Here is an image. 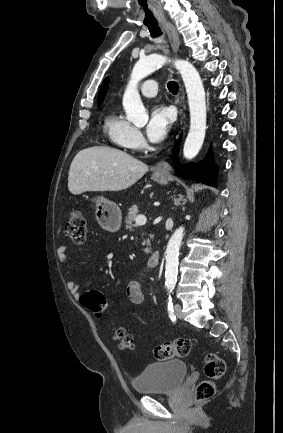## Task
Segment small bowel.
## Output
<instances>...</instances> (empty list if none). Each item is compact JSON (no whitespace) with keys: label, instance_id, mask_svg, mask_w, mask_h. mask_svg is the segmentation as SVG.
<instances>
[{"label":"small bowel","instance_id":"small-bowel-1","mask_svg":"<svg viewBox=\"0 0 283 433\" xmlns=\"http://www.w3.org/2000/svg\"><path fill=\"white\" fill-rule=\"evenodd\" d=\"M57 257L60 263H67L68 261V254H67V247L64 245H61L57 248ZM67 288L72 294V296L75 299L81 298V293L79 291L78 284L74 280H68L67 281ZM126 293L129 298V300L135 304V305H141L144 302V295L142 291L141 284L136 281L132 280L128 283L126 288Z\"/></svg>","mask_w":283,"mask_h":433}]
</instances>
